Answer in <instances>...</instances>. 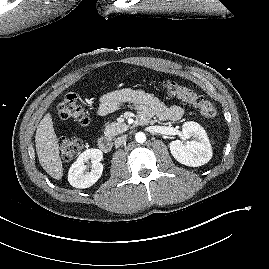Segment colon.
I'll use <instances>...</instances> for the list:
<instances>
[{
	"label": "colon",
	"mask_w": 269,
	"mask_h": 269,
	"mask_svg": "<svg viewBox=\"0 0 269 269\" xmlns=\"http://www.w3.org/2000/svg\"><path fill=\"white\" fill-rule=\"evenodd\" d=\"M162 90L169 96L176 97L194 108H196L204 117L213 118L216 115L214 105L205 99L202 95L193 90L180 85L171 79H164L161 82ZM58 114L62 119L74 120L81 125H87L89 118L84 108L79 103L78 96L74 92H68L58 105ZM61 155L64 160H72L82 149L83 144L80 139L62 137L59 141Z\"/></svg>",
	"instance_id": "colon-1"
}]
</instances>
